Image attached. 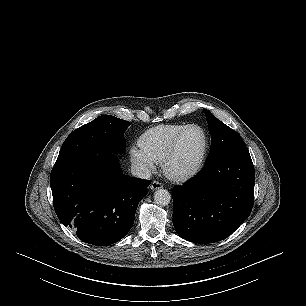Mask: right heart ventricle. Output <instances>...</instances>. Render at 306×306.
Here are the masks:
<instances>
[{"label": "right heart ventricle", "mask_w": 306, "mask_h": 306, "mask_svg": "<svg viewBox=\"0 0 306 306\" xmlns=\"http://www.w3.org/2000/svg\"><path fill=\"white\" fill-rule=\"evenodd\" d=\"M186 125H160L147 130L139 139L140 146L161 163L168 154L176 136Z\"/></svg>", "instance_id": "1"}]
</instances>
